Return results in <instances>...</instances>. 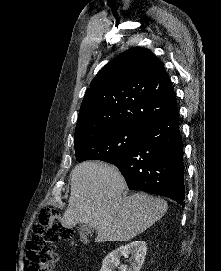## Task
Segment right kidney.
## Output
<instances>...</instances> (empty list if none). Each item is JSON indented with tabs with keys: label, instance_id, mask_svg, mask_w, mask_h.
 I'll list each match as a JSON object with an SVG mask.
<instances>
[{
	"label": "right kidney",
	"instance_id": "ca27d5eb",
	"mask_svg": "<svg viewBox=\"0 0 221 271\" xmlns=\"http://www.w3.org/2000/svg\"><path fill=\"white\" fill-rule=\"evenodd\" d=\"M147 251V245L145 241H130L126 245H120L113 251H110L102 261V267L100 271H113V269H119V271H139L141 269L145 255ZM129 257L130 265H120V257Z\"/></svg>",
	"mask_w": 221,
	"mask_h": 271
}]
</instances>
